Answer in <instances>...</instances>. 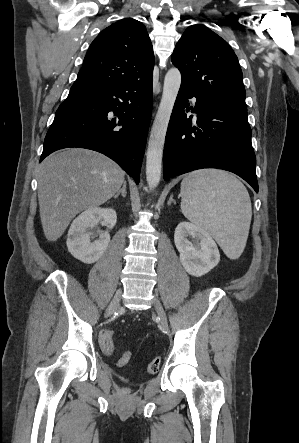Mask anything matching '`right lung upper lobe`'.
<instances>
[{
  "instance_id": "obj_1",
  "label": "right lung upper lobe",
  "mask_w": 299,
  "mask_h": 443,
  "mask_svg": "<svg viewBox=\"0 0 299 443\" xmlns=\"http://www.w3.org/2000/svg\"><path fill=\"white\" fill-rule=\"evenodd\" d=\"M154 53L143 23L127 18L91 43L71 89L97 88L153 76Z\"/></svg>"
}]
</instances>
